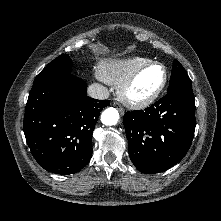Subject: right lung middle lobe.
Masks as SVG:
<instances>
[{
	"mask_svg": "<svg viewBox=\"0 0 221 221\" xmlns=\"http://www.w3.org/2000/svg\"><path fill=\"white\" fill-rule=\"evenodd\" d=\"M72 67V60L69 55L63 54L52 62H50L36 77L31 90L43 85L49 79L61 75L70 73Z\"/></svg>",
	"mask_w": 221,
	"mask_h": 221,
	"instance_id": "obj_1",
	"label": "right lung middle lobe"
}]
</instances>
